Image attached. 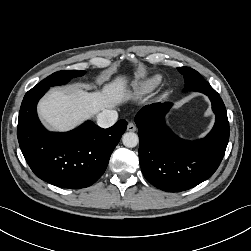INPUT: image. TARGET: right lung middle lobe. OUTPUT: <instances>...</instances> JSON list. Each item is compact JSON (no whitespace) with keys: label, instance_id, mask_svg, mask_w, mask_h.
<instances>
[{"label":"right lung middle lobe","instance_id":"1","mask_svg":"<svg viewBox=\"0 0 251 251\" xmlns=\"http://www.w3.org/2000/svg\"><path fill=\"white\" fill-rule=\"evenodd\" d=\"M84 71H77V70H63V71H58L44 80H42L40 83H38L35 87H46L49 88L51 86L55 85H62L66 84L70 79L74 77H79L84 75Z\"/></svg>","mask_w":251,"mask_h":251}]
</instances>
